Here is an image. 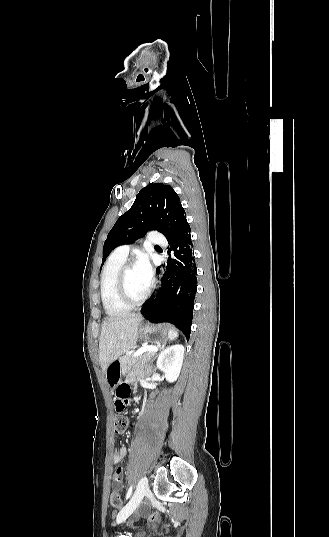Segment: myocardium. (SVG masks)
I'll return each instance as SVG.
<instances>
[{
  "mask_svg": "<svg viewBox=\"0 0 329 537\" xmlns=\"http://www.w3.org/2000/svg\"><path fill=\"white\" fill-rule=\"evenodd\" d=\"M132 267H134L133 264H124L120 268L118 275H117V289H118L119 297L121 301L127 306H129L130 308L141 305L149 297L151 293V286H149L146 292L144 293V295L140 297L139 299H132L129 297L127 290H126V273Z\"/></svg>",
  "mask_w": 329,
  "mask_h": 537,
  "instance_id": "f54148a6",
  "label": "myocardium"
}]
</instances>
